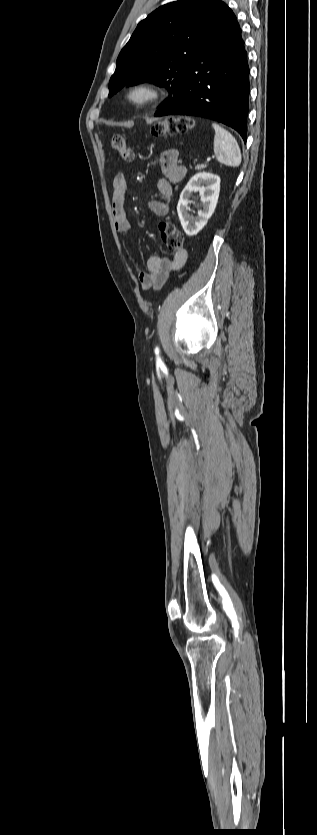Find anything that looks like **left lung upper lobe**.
<instances>
[{"instance_id": "left-lung-upper-lobe-1", "label": "left lung upper lobe", "mask_w": 317, "mask_h": 835, "mask_svg": "<svg viewBox=\"0 0 317 835\" xmlns=\"http://www.w3.org/2000/svg\"><path fill=\"white\" fill-rule=\"evenodd\" d=\"M228 9L220 0H180L156 9L121 50L109 97L127 84L152 81L169 90L160 108L177 100L189 66Z\"/></svg>"}]
</instances>
